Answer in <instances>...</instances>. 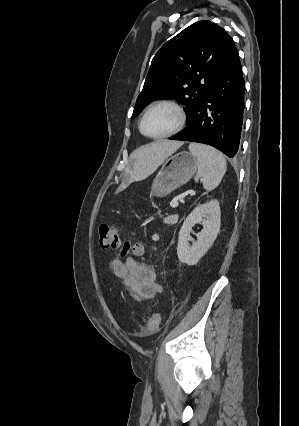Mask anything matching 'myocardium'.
I'll use <instances>...</instances> for the list:
<instances>
[{
  "mask_svg": "<svg viewBox=\"0 0 299 426\" xmlns=\"http://www.w3.org/2000/svg\"><path fill=\"white\" fill-rule=\"evenodd\" d=\"M158 106H170L173 109H175L177 114H178V123H177V125L174 129H172L171 131H169L165 134L158 135V136H151L144 131L143 123H144V120H145L146 116L148 115V113L153 108L158 107ZM186 121H187V114H186L185 108L178 101L173 100V99H162V100H158V101L150 104L147 107V109L145 110V112L143 113V115L140 119L139 130L145 137L150 138V139H154V140H159V139L171 137V136L179 133L185 127Z\"/></svg>",
  "mask_w": 299,
  "mask_h": 426,
  "instance_id": "1",
  "label": "myocardium"
}]
</instances>
